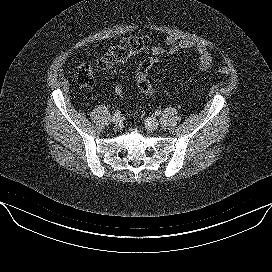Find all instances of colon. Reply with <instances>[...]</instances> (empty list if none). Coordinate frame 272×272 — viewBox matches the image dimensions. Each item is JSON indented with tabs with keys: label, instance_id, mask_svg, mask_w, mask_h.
Listing matches in <instances>:
<instances>
[{
	"label": "colon",
	"instance_id": "1",
	"mask_svg": "<svg viewBox=\"0 0 272 272\" xmlns=\"http://www.w3.org/2000/svg\"><path fill=\"white\" fill-rule=\"evenodd\" d=\"M149 40L146 37L130 38L124 45H115L111 47L102 57L98 60L96 66L89 63H82L74 70L75 81L84 87H92L95 84V73L97 69L109 71L113 66L119 62L126 60L131 55L138 53L148 46ZM161 61L160 56H153L141 62L138 67L136 75L137 87L141 92L146 95L152 96L155 94V89L148 80V73L152 66ZM217 72L226 74L227 68L219 67ZM118 96H122L123 87L116 85L114 88Z\"/></svg>",
	"mask_w": 272,
	"mask_h": 272
}]
</instances>
